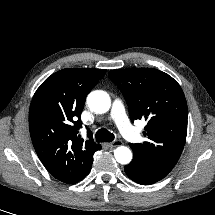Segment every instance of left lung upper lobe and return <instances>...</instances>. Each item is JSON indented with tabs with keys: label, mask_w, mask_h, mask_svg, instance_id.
Listing matches in <instances>:
<instances>
[{
	"label": "left lung upper lobe",
	"mask_w": 215,
	"mask_h": 215,
	"mask_svg": "<svg viewBox=\"0 0 215 215\" xmlns=\"http://www.w3.org/2000/svg\"><path fill=\"white\" fill-rule=\"evenodd\" d=\"M109 78L128 104L131 121L145 119L147 141L129 144L145 163L170 172L186 141L188 109L180 85L153 68L115 69Z\"/></svg>",
	"instance_id": "obj_1"
}]
</instances>
